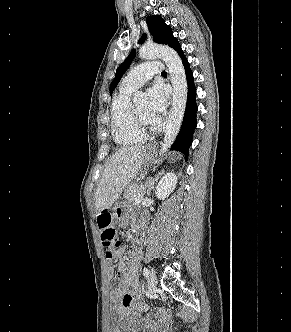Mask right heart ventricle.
Wrapping results in <instances>:
<instances>
[{
	"label": "right heart ventricle",
	"mask_w": 291,
	"mask_h": 332,
	"mask_svg": "<svg viewBox=\"0 0 291 332\" xmlns=\"http://www.w3.org/2000/svg\"><path fill=\"white\" fill-rule=\"evenodd\" d=\"M131 93L132 90L120 88L111 104V133L114 141L122 146L137 144L146 138L135 126Z\"/></svg>",
	"instance_id": "1"
}]
</instances>
